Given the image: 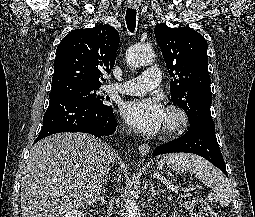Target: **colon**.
Instances as JSON below:
<instances>
[{"label": "colon", "instance_id": "5ec220e1", "mask_svg": "<svg viewBox=\"0 0 255 217\" xmlns=\"http://www.w3.org/2000/svg\"><path fill=\"white\" fill-rule=\"evenodd\" d=\"M181 204L192 217H220L204 199L192 194L182 195Z\"/></svg>", "mask_w": 255, "mask_h": 217}]
</instances>
